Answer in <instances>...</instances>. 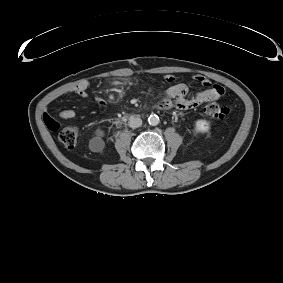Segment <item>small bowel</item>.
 <instances>
[{"label":"small bowel","instance_id":"c3829d8e","mask_svg":"<svg viewBox=\"0 0 283 283\" xmlns=\"http://www.w3.org/2000/svg\"><path fill=\"white\" fill-rule=\"evenodd\" d=\"M175 80L176 78L173 75H165L163 77V82L169 85L160 101V106L163 108L175 107L181 110H190L225 96V90L222 86L212 84L208 78L201 75L194 76L193 81L199 83L204 89L193 94H190L186 84L175 83ZM89 86L90 83L83 80L74 88L73 92L85 98ZM100 108L101 110L105 109L104 102L100 103ZM75 116L76 112L73 109H64L59 113V117L64 120L73 119ZM44 122L51 130H55L59 126L58 122L48 114L44 116Z\"/></svg>","mask_w":283,"mask_h":283}]
</instances>
